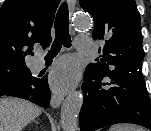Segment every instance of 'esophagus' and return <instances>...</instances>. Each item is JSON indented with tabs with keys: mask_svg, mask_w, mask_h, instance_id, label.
Wrapping results in <instances>:
<instances>
[{
	"mask_svg": "<svg viewBox=\"0 0 151 131\" xmlns=\"http://www.w3.org/2000/svg\"><path fill=\"white\" fill-rule=\"evenodd\" d=\"M68 1H69V10H70V13L72 14L75 9L76 0H68ZM63 99H64V96L62 94H57V93L53 94L51 98V106L53 108L59 107Z\"/></svg>",
	"mask_w": 151,
	"mask_h": 131,
	"instance_id": "esophagus-1",
	"label": "esophagus"
}]
</instances>
